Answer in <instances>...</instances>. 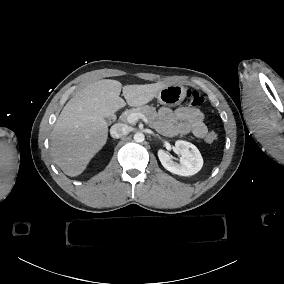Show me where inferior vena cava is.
Returning <instances> with one entry per match:
<instances>
[{
    "label": "inferior vena cava",
    "mask_w": 284,
    "mask_h": 284,
    "mask_svg": "<svg viewBox=\"0 0 284 284\" xmlns=\"http://www.w3.org/2000/svg\"><path fill=\"white\" fill-rule=\"evenodd\" d=\"M129 132L130 128L121 123L114 124L110 130L111 136L115 139H119L122 136L128 134Z\"/></svg>",
    "instance_id": "obj_1"
}]
</instances>
